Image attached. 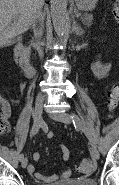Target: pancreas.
I'll use <instances>...</instances> for the list:
<instances>
[{
	"instance_id": "cf45deb5",
	"label": "pancreas",
	"mask_w": 119,
	"mask_h": 185,
	"mask_svg": "<svg viewBox=\"0 0 119 185\" xmlns=\"http://www.w3.org/2000/svg\"><path fill=\"white\" fill-rule=\"evenodd\" d=\"M81 20H82L84 25L89 27V26L92 25L93 16L91 14L86 13V14L81 16Z\"/></svg>"
}]
</instances>
